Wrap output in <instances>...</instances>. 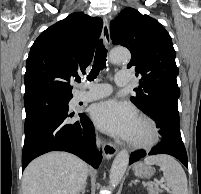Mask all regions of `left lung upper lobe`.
Returning <instances> with one entry per match:
<instances>
[{
  "label": "left lung upper lobe",
  "instance_id": "left-lung-upper-lobe-1",
  "mask_svg": "<svg viewBox=\"0 0 201 194\" xmlns=\"http://www.w3.org/2000/svg\"><path fill=\"white\" fill-rule=\"evenodd\" d=\"M114 44L127 47L132 55L128 68L134 66L140 76V86L131 101L144 113L150 114L158 105L178 107L180 89L176 77V52L165 28L148 15L133 8L124 9L111 22Z\"/></svg>",
  "mask_w": 201,
  "mask_h": 194
}]
</instances>
